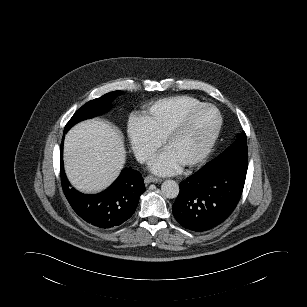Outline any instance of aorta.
<instances>
[{"instance_id":"1","label":"aorta","mask_w":307,"mask_h":307,"mask_svg":"<svg viewBox=\"0 0 307 307\" xmlns=\"http://www.w3.org/2000/svg\"><path fill=\"white\" fill-rule=\"evenodd\" d=\"M161 192L166 198H176L179 194V185L174 180H165L161 185Z\"/></svg>"}]
</instances>
